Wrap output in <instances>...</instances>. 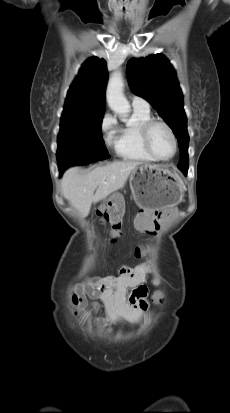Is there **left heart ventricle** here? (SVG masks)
Segmentation results:
<instances>
[{
    "label": "left heart ventricle",
    "mask_w": 230,
    "mask_h": 413,
    "mask_svg": "<svg viewBox=\"0 0 230 413\" xmlns=\"http://www.w3.org/2000/svg\"><path fill=\"white\" fill-rule=\"evenodd\" d=\"M150 144L155 152L161 158H168L173 153V141L167 131L162 125H155L150 132Z\"/></svg>",
    "instance_id": "obj_1"
}]
</instances>
